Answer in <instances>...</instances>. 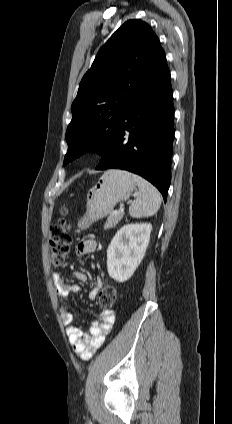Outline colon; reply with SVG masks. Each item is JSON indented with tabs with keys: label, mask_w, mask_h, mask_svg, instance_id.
<instances>
[{
	"label": "colon",
	"mask_w": 232,
	"mask_h": 424,
	"mask_svg": "<svg viewBox=\"0 0 232 424\" xmlns=\"http://www.w3.org/2000/svg\"><path fill=\"white\" fill-rule=\"evenodd\" d=\"M68 211L61 210V217L50 228L49 249L51 263L59 267L65 263L72 241L71 222L67 218ZM117 300V291L114 286L107 284L98 293V305L103 310L111 309Z\"/></svg>",
	"instance_id": "1"
}]
</instances>
